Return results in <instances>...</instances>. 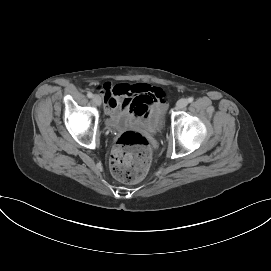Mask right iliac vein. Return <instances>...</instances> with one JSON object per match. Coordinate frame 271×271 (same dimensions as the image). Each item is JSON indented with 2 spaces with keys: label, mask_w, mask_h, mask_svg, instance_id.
Masks as SVG:
<instances>
[{
  "label": "right iliac vein",
  "mask_w": 271,
  "mask_h": 271,
  "mask_svg": "<svg viewBox=\"0 0 271 271\" xmlns=\"http://www.w3.org/2000/svg\"><path fill=\"white\" fill-rule=\"evenodd\" d=\"M93 102L95 103V105L100 106L101 105V97L99 95H94L93 96Z\"/></svg>",
  "instance_id": "1"
}]
</instances>
